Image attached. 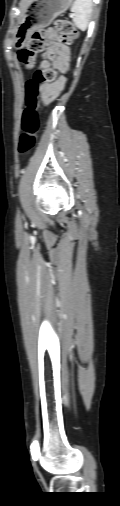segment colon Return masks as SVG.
Returning <instances> with one entry per match:
<instances>
[{
	"mask_svg": "<svg viewBox=\"0 0 120 506\" xmlns=\"http://www.w3.org/2000/svg\"><path fill=\"white\" fill-rule=\"evenodd\" d=\"M55 28L58 40L64 44H71L78 35V31L68 20H57ZM44 37V31L34 32L28 41L27 47L18 53L19 61L27 69L34 66L36 55L44 51ZM44 58L47 61H53L55 51L51 48L47 49L44 52ZM55 78V70L49 67H40L34 76L27 81L25 107L21 119L22 134L19 142V152L22 155L27 154L36 144V134L40 126L38 110L41 103V86L53 82Z\"/></svg>",
	"mask_w": 120,
	"mask_h": 506,
	"instance_id": "obj_1",
	"label": "colon"
}]
</instances>
